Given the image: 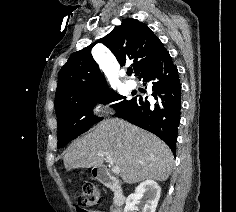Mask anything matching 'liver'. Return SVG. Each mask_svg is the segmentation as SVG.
I'll list each match as a JSON object with an SVG mask.
<instances>
[{
	"label": "liver",
	"instance_id": "liver-1",
	"mask_svg": "<svg viewBox=\"0 0 236 212\" xmlns=\"http://www.w3.org/2000/svg\"><path fill=\"white\" fill-rule=\"evenodd\" d=\"M100 152L110 155L128 184L149 179L165 181L174 161L170 148L157 136L113 118L100 122L68 147L63 158L65 168L102 167L105 156L98 155Z\"/></svg>",
	"mask_w": 236,
	"mask_h": 212
}]
</instances>
